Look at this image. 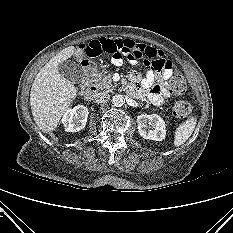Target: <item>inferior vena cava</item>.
I'll return each instance as SVG.
<instances>
[{"instance_id":"obj_1","label":"inferior vena cava","mask_w":233,"mask_h":233,"mask_svg":"<svg viewBox=\"0 0 233 233\" xmlns=\"http://www.w3.org/2000/svg\"><path fill=\"white\" fill-rule=\"evenodd\" d=\"M110 98V95L106 92H99L95 95V102L96 103H103L108 101Z\"/></svg>"}]
</instances>
